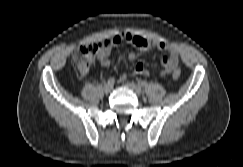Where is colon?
<instances>
[{
	"mask_svg": "<svg viewBox=\"0 0 243 167\" xmlns=\"http://www.w3.org/2000/svg\"><path fill=\"white\" fill-rule=\"evenodd\" d=\"M100 47H101V43H88L78 47L74 51L72 56V62L74 67L81 72L86 71L90 62L93 59L95 52L98 49H100ZM180 75H181V71L179 69H176L173 72L172 77L174 79H178Z\"/></svg>",
	"mask_w": 243,
	"mask_h": 167,
	"instance_id": "colon-1",
	"label": "colon"
}]
</instances>
